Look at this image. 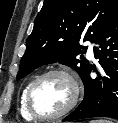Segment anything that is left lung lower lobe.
<instances>
[{
	"label": "left lung lower lobe",
	"mask_w": 118,
	"mask_h": 123,
	"mask_svg": "<svg viewBox=\"0 0 118 123\" xmlns=\"http://www.w3.org/2000/svg\"><path fill=\"white\" fill-rule=\"evenodd\" d=\"M94 57L99 59L100 70L89 66L84 74L85 95L79 106L63 121L92 117H110L118 120V18L95 41ZM98 78L90 77L91 70Z\"/></svg>",
	"instance_id": "left-lung-lower-lobe-1"
}]
</instances>
